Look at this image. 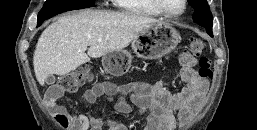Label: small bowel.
I'll return each mask as SVG.
<instances>
[{
  "label": "small bowel",
  "instance_id": "c3829d8e",
  "mask_svg": "<svg viewBox=\"0 0 257 130\" xmlns=\"http://www.w3.org/2000/svg\"><path fill=\"white\" fill-rule=\"evenodd\" d=\"M179 77L184 86L178 92H171L162 82L149 84L135 81L126 85L111 82L94 84L83 94V100L94 103L98 98L116 97V110L130 115L136 107L143 117L142 130H175L177 120L185 121L204 100L208 83L195 70L196 59L188 52L179 57ZM59 97H52L49 90L45 100L47 105L60 114H67L64 106L58 103ZM72 130H130V127L108 117H92L89 114L70 116Z\"/></svg>",
  "mask_w": 257,
  "mask_h": 130
}]
</instances>
